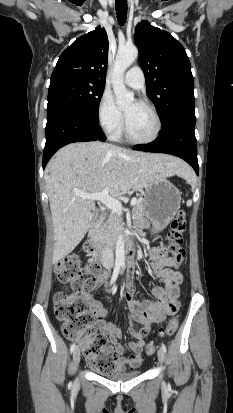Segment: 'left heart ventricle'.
Listing matches in <instances>:
<instances>
[{
    "label": "left heart ventricle",
    "instance_id": "left-heart-ventricle-1",
    "mask_svg": "<svg viewBox=\"0 0 233 413\" xmlns=\"http://www.w3.org/2000/svg\"><path fill=\"white\" fill-rule=\"evenodd\" d=\"M130 134L137 139L150 138L156 127L151 111L141 104L130 102L124 107Z\"/></svg>",
    "mask_w": 233,
    "mask_h": 413
}]
</instances>
